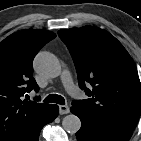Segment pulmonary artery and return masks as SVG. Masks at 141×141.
Segmentation results:
<instances>
[{
    "instance_id": "1",
    "label": "pulmonary artery",
    "mask_w": 141,
    "mask_h": 141,
    "mask_svg": "<svg viewBox=\"0 0 141 141\" xmlns=\"http://www.w3.org/2000/svg\"><path fill=\"white\" fill-rule=\"evenodd\" d=\"M62 82H63L65 89L68 91L69 94L73 96H77L78 89L74 85L70 72L68 70H64L62 72Z\"/></svg>"
}]
</instances>
